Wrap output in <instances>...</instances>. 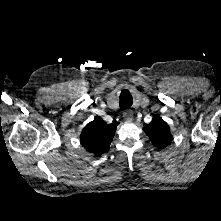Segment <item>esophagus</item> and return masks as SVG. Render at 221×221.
Listing matches in <instances>:
<instances>
[{
    "label": "esophagus",
    "mask_w": 221,
    "mask_h": 221,
    "mask_svg": "<svg viewBox=\"0 0 221 221\" xmlns=\"http://www.w3.org/2000/svg\"><path fill=\"white\" fill-rule=\"evenodd\" d=\"M123 118L126 121L131 122L133 120V112L131 110H125L123 112Z\"/></svg>",
    "instance_id": "1"
}]
</instances>
